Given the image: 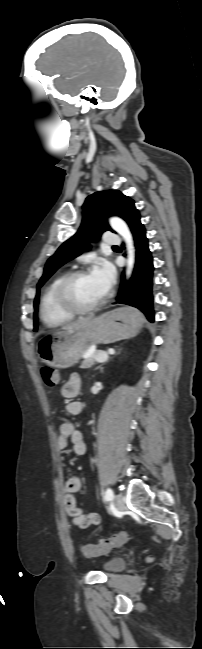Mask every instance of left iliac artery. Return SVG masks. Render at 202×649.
<instances>
[{"label": "left iliac artery", "mask_w": 202, "mask_h": 649, "mask_svg": "<svg viewBox=\"0 0 202 649\" xmlns=\"http://www.w3.org/2000/svg\"><path fill=\"white\" fill-rule=\"evenodd\" d=\"M112 498H113V491L110 488H108L106 490V492H105L104 499H105V501L108 502V501L112 500Z\"/></svg>", "instance_id": "1"}]
</instances>
